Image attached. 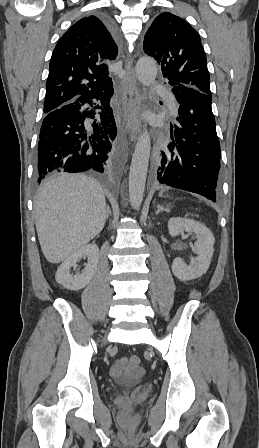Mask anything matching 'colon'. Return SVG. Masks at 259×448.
Segmentation results:
<instances>
[{
    "label": "colon",
    "instance_id": "1",
    "mask_svg": "<svg viewBox=\"0 0 259 448\" xmlns=\"http://www.w3.org/2000/svg\"><path fill=\"white\" fill-rule=\"evenodd\" d=\"M128 362L131 367H138L141 361L137 355H132L129 357Z\"/></svg>",
    "mask_w": 259,
    "mask_h": 448
}]
</instances>
